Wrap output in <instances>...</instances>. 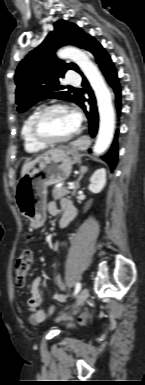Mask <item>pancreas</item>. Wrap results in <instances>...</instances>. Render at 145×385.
<instances>
[{
    "mask_svg": "<svg viewBox=\"0 0 145 385\" xmlns=\"http://www.w3.org/2000/svg\"><path fill=\"white\" fill-rule=\"evenodd\" d=\"M52 192L54 199H60L64 196H67L70 193V190L66 187H56Z\"/></svg>",
    "mask_w": 145,
    "mask_h": 385,
    "instance_id": "obj_1",
    "label": "pancreas"
}]
</instances>
